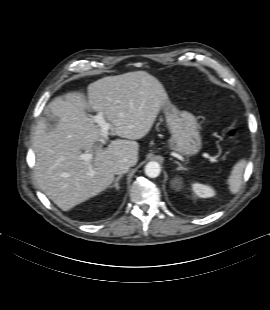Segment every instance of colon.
I'll return each instance as SVG.
<instances>
[{
  "mask_svg": "<svg viewBox=\"0 0 270 310\" xmlns=\"http://www.w3.org/2000/svg\"><path fill=\"white\" fill-rule=\"evenodd\" d=\"M228 136L233 140L234 144L239 147L241 145V138L236 130L231 129L228 131Z\"/></svg>",
  "mask_w": 270,
  "mask_h": 310,
  "instance_id": "5ec220e1",
  "label": "colon"
}]
</instances>
